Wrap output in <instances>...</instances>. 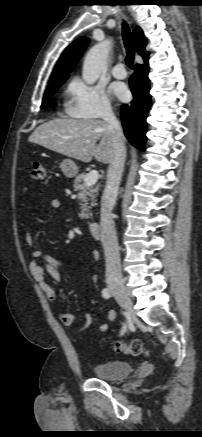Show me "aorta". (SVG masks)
I'll list each match as a JSON object with an SVG mask.
<instances>
[{
	"instance_id": "762f6f07",
	"label": "aorta",
	"mask_w": 202,
	"mask_h": 437,
	"mask_svg": "<svg viewBox=\"0 0 202 437\" xmlns=\"http://www.w3.org/2000/svg\"><path fill=\"white\" fill-rule=\"evenodd\" d=\"M111 49V42L106 40L92 47L87 53L82 70L85 83L94 84L107 68V58Z\"/></svg>"
}]
</instances>
